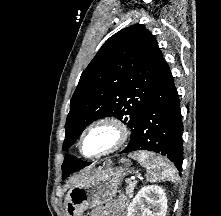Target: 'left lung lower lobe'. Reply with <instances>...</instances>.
Listing matches in <instances>:
<instances>
[{
  "mask_svg": "<svg viewBox=\"0 0 221 216\" xmlns=\"http://www.w3.org/2000/svg\"><path fill=\"white\" fill-rule=\"evenodd\" d=\"M183 124L180 101L166 62L159 65L144 113L136 125L133 138L121 153L148 150L160 153L182 168ZM86 163L84 167L89 165Z\"/></svg>",
  "mask_w": 221,
  "mask_h": 216,
  "instance_id": "left-lung-lower-lobe-1",
  "label": "left lung lower lobe"
}]
</instances>
